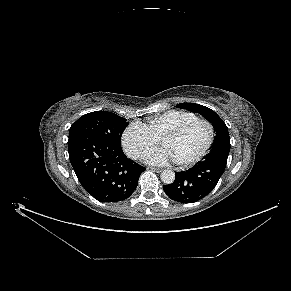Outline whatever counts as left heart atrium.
Instances as JSON below:
<instances>
[{
	"label": "left heart atrium",
	"mask_w": 291,
	"mask_h": 291,
	"mask_svg": "<svg viewBox=\"0 0 291 291\" xmlns=\"http://www.w3.org/2000/svg\"><path fill=\"white\" fill-rule=\"evenodd\" d=\"M144 161L150 165L162 166L170 162H177V159L169 148L163 147L149 151L145 155Z\"/></svg>",
	"instance_id": "obj_1"
}]
</instances>
